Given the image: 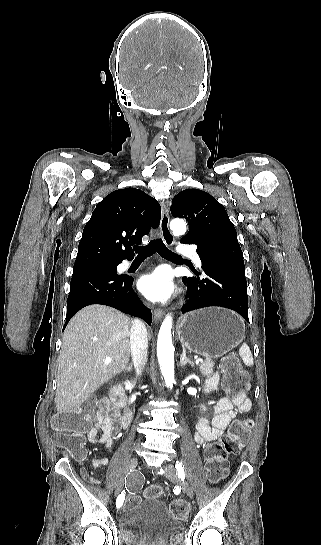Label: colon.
<instances>
[{
    "label": "colon",
    "instance_id": "5ec220e1",
    "mask_svg": "<svg viewBox=\"0 0 321 545\" xmlns=\"http://www.w3.org/2000/svg\"><path fill=\"white\" fill-rule=\"evenodd\" d=\"M224 390L229 396L245 394L249 389V376L243 370L237 359L228 357L222 362ZM95 401L88 399L76 409L58 413L53 419L56 430L53 443L67 450L76 460L86 457V440L84 433L91 423ZM253 422L250 419H239L232 423L227 434L222 439L209 444L204 452L207 477L212 482L223 479L228 472L227 456L238 454L246 445ZM145 496L160 498L164 495L161 486L151 485L145 490ZM141 498L135 494H128L122 503V509L135 507ZM171 513L180 519L186 518L187 507L179 502L170 505Z\"/></svg>",
    "mask_w": 321,
    "mask_h": 545
}]
</instances>
